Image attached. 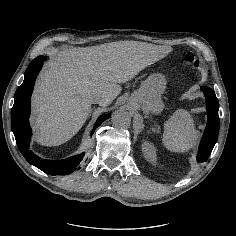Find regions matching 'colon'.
<instances>
[{
  "instance_id": "1",
  "label": "colon",
  "mask_w": 236,
  "mask_h": 236,
  "mask_svg": "<svg viewBox=\"0 0 236 236\" xmlns=\"http://www.w3.org/2000/svg\"><path fill=\"white\" fill-rule=\"evenodd\" d=\"M182 61L189 65L192 66L196 69H199L201 67V60L199 57L192 51H185L182 53Z\"/></svg>"
}]
</instances>
